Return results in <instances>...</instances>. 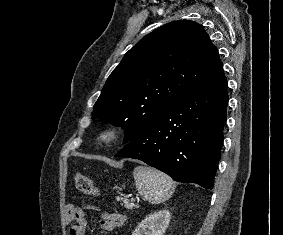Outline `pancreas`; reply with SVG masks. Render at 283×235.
I'll use <instances>...</instances> for the list:
<instances>
[{"label": "pancreas", "mask_w": 283, "mask_h": 235, "mask_svg": "<svg viewBox=\"0 0 283 235\" xmlns=\"http://www.w3.org/2000/svg\"><path fill=\"white\" fill-rule=\"evenodd\" d=\"M117 200H121L123 202L122 205L124 204V207L127 209L133 210L134 208L138 207V205L129 202V200L126 198H117Z\"/></svg>", "instance_id": "cf45deb5"}]
</instances>
